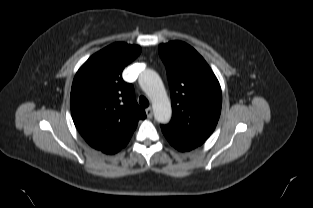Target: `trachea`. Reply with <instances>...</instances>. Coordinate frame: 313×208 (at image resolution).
I'll use <instances>...</instances> for the list:
<instances>
[{
	"mask_svg": "<svg viewBox=\"0 0 313 208\" xmlns=\"http://www.w3.org/2000/svg\"><path fill=\"white\" fill-rule=\"evenodd\" d=\"M139 103H140L141 107H143V108H146L149 106V101L144 96H140Z\"/></svg>",
	"mask_w": 313,
	"mask_h": 208,
	"instance_id": "3493384b",
	"label": "trachea"
}]
</instances>
